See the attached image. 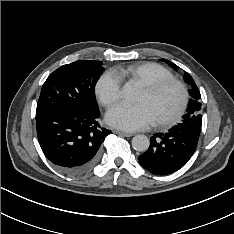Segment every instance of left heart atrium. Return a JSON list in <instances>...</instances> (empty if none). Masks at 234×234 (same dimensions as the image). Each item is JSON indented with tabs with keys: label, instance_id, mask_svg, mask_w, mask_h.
<instances>
[{
	"label": "left heart atrium",
	"instance_id": "obj_1",
	"mask_svg": "<svg viewBox=\"0 0 234 234\" xmlns=\"http://www.w3.org/2000/svg\"><path fill=\"white\" fill-rule=\"evenodd\" d=\"M107 123L124 131H136L154 123L148 109L143 104L133 106L119 104L106 114Z\"/></svg>",
	"mask_w": 234,
	"mask_h": 234
}]
</instances>
